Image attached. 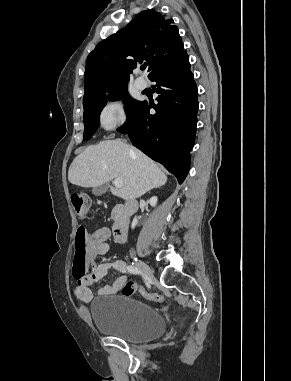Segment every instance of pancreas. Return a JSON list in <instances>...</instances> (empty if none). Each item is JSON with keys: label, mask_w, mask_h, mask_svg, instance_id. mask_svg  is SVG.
<instances>
[{"label": "pancreas", "mask_w": 291, "mask_h": 381, "mask_svg": "<svg viewBox=\"0 0 291 381\" xmlns=\"http://www.w3.org/2000/svg\"><path fill=\"white\" fill-rule=\"evenodd\" d=\"M116 217H117V215H116V213L113 211V212H112V219L115 220Z\"/></svg>", "instance_id": "cf45deb5"}]
</instances>
